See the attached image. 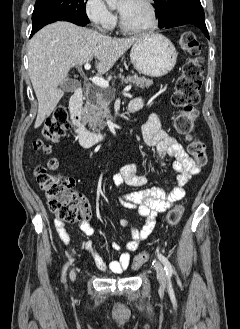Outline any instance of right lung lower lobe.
I'll return each mask as SVG.
<instances>
[{
  "instance_id": "obj_1",
  "label": "right lung lower lobe",
  "mask_w": 240,
  "mask_h": 329,
  "mask_svg": "<svg viewBox=\"0 0 240 329\" xmlns=\"http://www.w3.org/2000/svg\"><path fill=\"white\" fill-rule=\"evenodd\" d=\"M68 21V22H72L74 24L80 25V26H85L88 23L79 21V20H73V19H63V18H58V17H43V18H38L36 20L33 21V27H32V32H31V36L36 33L39 29H41L43 26L52 23V22H56V21Z\"/></svg>"
}]
</instances>
